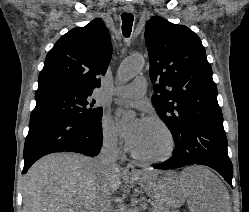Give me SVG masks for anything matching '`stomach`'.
I'll return each instance as SVG.
<instances>
[{
    "mask_svg": "<svg viewBox=\"0 0 249 212\" xmlns=\"http://www.w3.org/2000/svg\"><path fill=\"white\" fill-rule=\"evenodd\" d=\"M144 192L148 198H185V179H178L174 170H147L141 175ZM155 204H183V199H155ZM169 210H179V205H169Z\"/></svg>",
    "mask_w": 249,
    "mask_h": 212,
    "instance_id": "stomach-1",
    "label": "stomach"
}]
</instances>
